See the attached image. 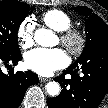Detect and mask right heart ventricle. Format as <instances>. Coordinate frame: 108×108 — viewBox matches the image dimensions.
<instances>
[{
  "instance_id": "right-heart-ventricle-1",
  "label": "right heart ventricle",
  "mask_w": 108,
  "mask_h": 108,
  "mask_svg": "<svg viewBox=\"0 0 108 108\" xmlns=\"http://www.w3.org/2000/svg\"><path fill=\"white\" fill-rule=\"evenodd\" d=\"M43 22L55 31L62 32L72 26L71 17L62 10L52 9L42 16Z\"/></svg>"
}]
</instances>
